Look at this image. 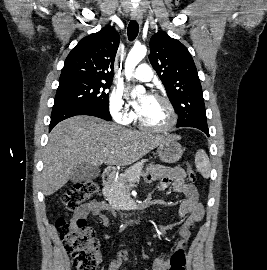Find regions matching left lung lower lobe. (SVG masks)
<instances>
[{"mask_svg": "<svg viewBox=\"0 0 267 270\" xmlns=\"http://www.w3.org/2000/svg\"><path fill=\"white\" fill-rule=\"evenodd\" d=\"M182 127H194V128H197V129L203 131L207 136H209V130H208L207 125H203V124H199V123H192V124H187V125L182 126Z\"/></svg>", "mask_w": 267, "mask_h": 270, "instance_id": "0a47b994", "label": "left lung lower lobe"}]
</instances>
